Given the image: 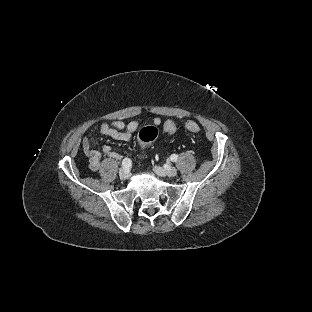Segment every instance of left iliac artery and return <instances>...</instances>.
<instances>
[{"mask_svg":"<svg viewBox=\"0 0 312 312\" xmlns=\"http://www.w3.org/2000/svg\"><path fill=\"white\" fill-rule=\"evenodd\" d=\"M170 159H171V161L175 162V161H177V159H178V155L172 154V155L170 156Z\"/></svg>","mask_w":312,"mask_h":312,"instance_id":"obj_1","label":"left iliac artery"}]
</instances>
